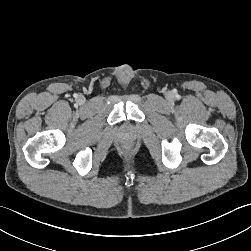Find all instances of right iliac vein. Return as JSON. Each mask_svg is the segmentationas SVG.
Here are the masks:
<instances>
[{"label":"right iliac vein","mask_w":251,"mask_h":251,"mask_svg":"<svg viewBox=\"0 0 251 251\" xmlns=\"http://www.w3.org/2000/svg\"><path fill=\"white\" fill-rule=\"evenodd\" d=\"M84 101H85V99H84L83 97H79V99H78V102H79V103L82 104V103H84Z\"/></svg>","instance_id":"obj_1"}]
</instances>
